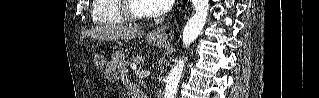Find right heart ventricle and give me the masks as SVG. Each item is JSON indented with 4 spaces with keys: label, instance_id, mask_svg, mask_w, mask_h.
Masks as SVG:
<instances>
[{
    "label": "right heart ventricle",
    "instance_id": "e07e8e85",
    "mask_svg": "<svg viewBox=\"0 0 319 98\" xmlns=\"http://www.w3.org/2000/svg\"><path fill=\"white\" fill-rule=\"evenodd\" d=\"M91 16L96 25H114L124 22L117 8V0H94Z\"/></svg>",
    "mask_w": 319,
    "mask_h": 98
}]
</instances>
